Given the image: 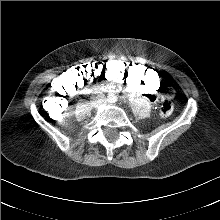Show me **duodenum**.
I'll list each match as a JSON object with an SVG mask.
<instances>
[{"mask_svg": "<svg viewBox=\"0 0 220 220\" xmlns=\"http://www.w3.org/2000/svg\"><path fill=\"white\" fill-rule=\"evenodd\" d=\"M84 89L89 92H96L100 90H106V87L91 84V85H85Z\"/></svg>", "mask_w": 220, "mask_h": 220, "instance_id": "obj_1", "label": "duodenum"}]
</instances>
